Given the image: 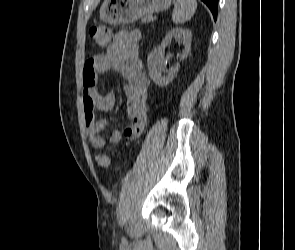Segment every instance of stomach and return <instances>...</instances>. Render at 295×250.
Masks as SVG:
<instances>
[{
	"label": "stomach",
	"instance_id": "obj_1",
	"mask_svg": "<svg viewBox=\"0 0 295 250\" xmlns=\"http://www.w3.org/2000/svg\"><path fill=\"white\" fill-rule=\"evenodd\" d=\"M171 0H105L100 7V19L117 25L138 20L144 15L168 9Z\"/></svg>",
	"mask_w": 295,
	"mask_h": 250
}]
</instances>
